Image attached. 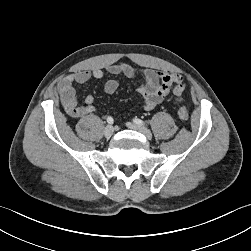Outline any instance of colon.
<instances>
[{"label":"colon","instance_id":"colon-1","mask_svg":"<svg viewBox=\"0 0 251 251\" xmlns=\"http://www.w3.org/2000/svg\"><path fill=\"white\" fill-rule=\"evenodd\" d=\"M178 115H179L180 119H182L184 121H187L189 119L188 110L184 106L179 107Z\"/></svg>","mask_w":251,"mask_h":251}]
</instances>
